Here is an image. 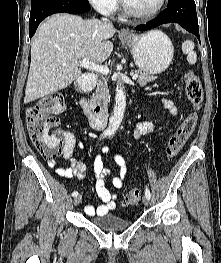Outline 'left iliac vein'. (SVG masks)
Returning <instances> with one entry per match:
<instances>
[{"instance_id":"4c4485c4","label":"left iliac vein","mask_w":221,"mask_h":263,"mask_svg":"<svg viewBox=\"0 0 221 263\" xmlns=\"http://www.w3.org/2000/svg\"><path fill=\"white\" fill-rule=\"evenodd\" d=\"M143 204H144L145 206H148V205H149V199H148L146 196L143 198Z\"/></svg>"}]
</instances>
